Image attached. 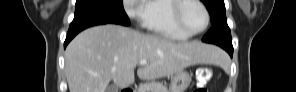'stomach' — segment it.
Listing matches in <instances>:
<instances>
[{
	"label": "stomach",
	"instance_id": "stomach-1",
	"mask_svg": "<svg viewBox=\"0 0 296 92\" xmlns=\"http://www.w3.org/2000/svg\"><path fill=\"white\" fill-rule=\"evenodd\" d=\"M191 83V76L186 71H180L171 80L169 92H185Z\"/></svg>",
	"mask_w": 296,
	"mask_h": 92
}]
</instances>
